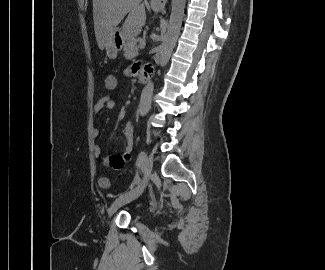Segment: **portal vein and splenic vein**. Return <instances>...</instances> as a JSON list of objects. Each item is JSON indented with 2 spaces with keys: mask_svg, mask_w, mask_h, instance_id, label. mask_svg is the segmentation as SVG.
<instances>
[{
  "mask_svg": "<svg viewBox=\"0 0 325 270\" xmlns=\"http://www.w3.org/2000/svg\"><path fill=\"white\" fill-rule=\"evenodd\" d=\"M145 47V44L144 43H141L140 45H139V48H141V49H143Z\"/></svg>",
  "mask_w": 325,
  "mask_h": 270,
  "instance_id": "1",
  "label": "portal vein and splenic vein"
}]
</instances>
